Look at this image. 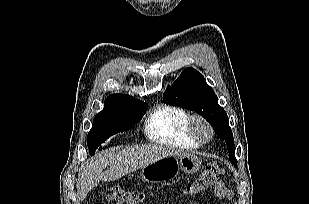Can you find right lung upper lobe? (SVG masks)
<instances>
[{
  "label": "right lung upper lobe",
  "mask_w": 309,
  "mask_h": 204,
  "mask_svg": "<svg viewBox=\"0 0 309 204\" xmlns=\"http://www.w3.org/2000/svg\"><path fill=\"white\" fill-rule=\"evenodd\" d=\"M120 101H139V100H137L136 98L130 95H123V94L117 93V94H112L108 96L105 100L104 105H109V104L117 103Z\"/></svg>",
  "instance_id": "obj_1"
}]
</instances>
